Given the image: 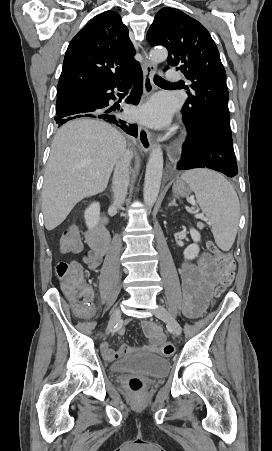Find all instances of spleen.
I'll return each mask as SVG.
<instances>
[{
  "label": "spleen",
  "instance_id": "spleen-1",
  "mask_svg": "<svg viewBox=\"0 0 272 451\" xmlns=\"http://www.w3.org/2000/svg\"><path fill=\"white\" fill-rule=\"evenodd\" d=\"M184 180L194 192L200 208L206 214L215 241L223 251L232 247L240 218L238 196L230 182L207 168H196L182 174Z\"/></svg>",
  "mask_w": 272,
  "mask_h": 451
}]
</instances>
